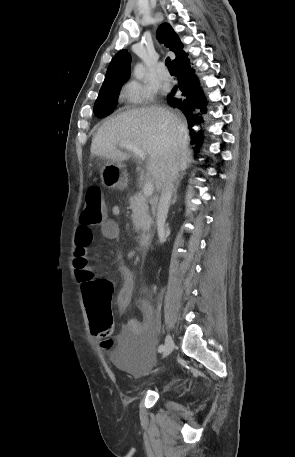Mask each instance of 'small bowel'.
Returning a JSON list of instances; mask_svg holds the SVG:
<instances>
[{
  "label": "small bowel",
  "instance_id": "c3829d8e",
  "mask_svg": "<svg viewBox=\"0 0 295 457\" xmlns=\"http://www.w3.org/2000/svg\"><path fill=\"white\" fill-rule=\"evenodd\" d=\"M111 212L114 216H119V206H112ZM101 234L105 239H117L120 234V228L117 221L111 218L106 219L101 225ZM92 240V230L84 226H79L75 236L76 255L80 253L85 254ZM118 271L122 278V284L116 294L115 303L120 311H125L132 299L134 291V276L126 265H121ZM138 307L142 313V320L130 319L124 327V332L127 335H138L144 333L147 335V338H151L152 328L155 322V313L152 304L146 297H142L139 300ZM113 357H116V355L113 354Z\"/></svg>",
  "mask_w": 295,
  "mask_h": 457
}]
</instances>
